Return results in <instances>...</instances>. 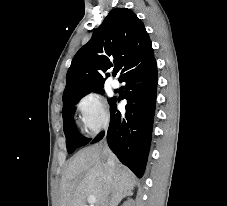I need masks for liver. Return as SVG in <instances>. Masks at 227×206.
<instances>
[{
	"label": "liver",
	"mask_w": 227,
	"mask_h": 206,
	"mask_svg": "<svg viewBox=\"0 0 227 206\" xmlns=\"http://www.w3.org/2000/svg\"><path fill=\"white\" fill-rule=\"evenodd\" d=\"M108 158L113 168L107 167ZM134 184V175L111 151L105 154L102 145H93L72 157L62 177L59 206H85L89 195L96 197L95 206L117 205Z\"/></svg>",
	"instance_id": "1"
}]
</instances>
